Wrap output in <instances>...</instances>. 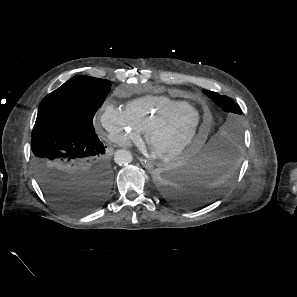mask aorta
<instances>
[{
    "instance_id": "1",
    "label": "aorta",
    "mask_w": 297,
    "mask_h": 297,
    "mask_svg": "<svg viewBox=\"0 0 297 297\" xmlns=\"http://www.w3.org/2000/svg\"><path fill=\"white\" fill-rule=\"evenodd\" d=\"M132 154L128 150H118L114 155V161L119 165H125L132 162Z\"/></svg>"
}]
</instances>
